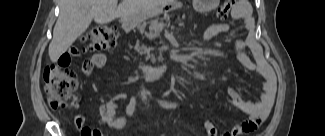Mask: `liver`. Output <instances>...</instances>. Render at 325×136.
<instances>
[{"instance_id": "6515ba94", "label": "liver", "mask_w": 325, "mask_h": 136, "mask_svg": "<svg viewBox=\"0 0 325 136\" xmlns=\"http://www.w3.org/2000/svg\"><path fill=\"white\" fill-rule=\"evenodd\" d=\"M60 0V14L49 45V57L56 62L59 57L83 34L92 20L106 24L114 19L136 17L171 0Z\"/></svg>"}]
</instances>
